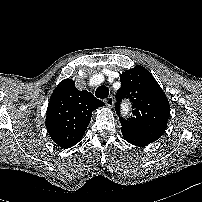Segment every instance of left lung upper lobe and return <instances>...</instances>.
<instances>
[{"label": "left lung upper lobe", "mask_w": 202, "mask_h": 202, "mask_svg": "<svg viewBox=\"0 0 202 202\" xmlns=\"http://www.w3.org/2000/svg\"><path fill=\"white\" fill-rule=\"evenodd\" d=\"M120 80L115 110L119 115L121 131L151 141L158 140L165 132L170 116L165 93L151 73L140 65L123 72ZM123 98H129L134 109L133 116L128 120L120 117Z\"/></svg>", "instance_id": "left-lung-upper-lobe-1"}]
</instances>
